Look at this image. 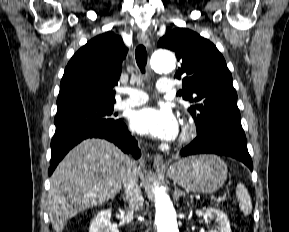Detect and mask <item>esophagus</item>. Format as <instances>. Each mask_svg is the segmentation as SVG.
Returning <instances> with one entry per match:
<instances>
[{"label": "esophagus", "mask_w": 289, "mask_h": 232, "mask_svg": "<svg viewBox=\"0 0 289 232\" xmlns=\"http://www.w3.org/2000/svg\"><path fill=\"white\" fill-rule=\"evenodd\" d=\"M137 38H138V41L140 44H142L146 47H149L150 41H149L148 36L145 33L139 32ZM154 166L158 169L165 168L164 159H163L162 155H160V154L155 155Z\"/></svg>", "instance_id": "34e87169"}]
</instances>
